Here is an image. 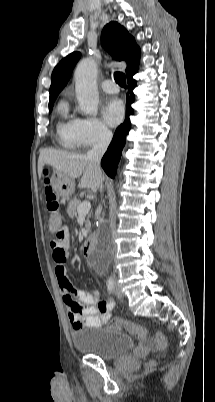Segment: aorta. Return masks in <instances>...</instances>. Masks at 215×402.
<instances>
[{
  "mask_svg": "<svg viewBox=\"0 0 215 402\" xmlns=\"http://www.w3.org/2000/svg\"><path fill=\"white\" fill-rule=\"evenodd\" d=\"M75 90L79 108L85 115H96L98 112L99 94L97 88V65L91 58L80 61L74 73ZM105 231L99 238L98 245L93 254L96 260L108 261L110 249L105 239Z\"/></svg>",
  "mask_w": 215,
  "mask_h": 402,
  "instance_id": "1",
  "label": "aorta"
}]
</instances>
